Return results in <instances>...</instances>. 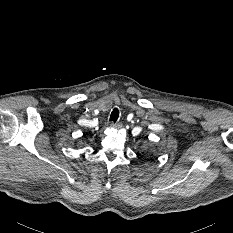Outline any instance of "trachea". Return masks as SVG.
Returning a JSON list of instances; mask_svg holds the SVG:
<instances>
[{"label":"trachea","mask_w":233,"mask_h":233,"mask_svg":"<svg viewBox=\"0 0 233 233\" xmlns=\"http://www.w3.org/2000/svg\"><path fill=\"white\" fill-rule=\"evenodd\" d=\"M119 118V110L117 108H114L110 115V121L115 123Z\"/></svg>","instance_id":"1"}]
</instances>
